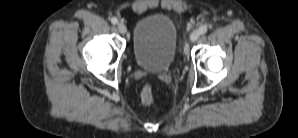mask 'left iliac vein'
Wrapping results in <instances>:
<instances>
[{
	"instance_id": "obj_1",
	"label": "left iliac vein",
	"mask_w": 298,
	"mask_h": 138,
	"mask_svg": "<svg viewBox=\"0 0 298 138\" xmlns=\"http://www.w3.org/2000/svg\"><path fill=\"white\" fill-rule=\"evenodd\" d=\"M200 37V31L199 30H194L191 35H190V41L194 42Z\"/></svg>"
}]
</instances>
